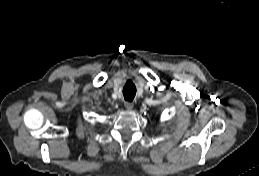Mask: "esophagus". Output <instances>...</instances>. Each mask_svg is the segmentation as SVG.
I'll list each match as a JSON object with an SVG mask.
<instances>
[{
    "label": "esophagus",
    "mask_w": 259,
    "mask_h": 176,
    "mask_svg": "<svg viewBox=\"0 0 259 176\" xmlns=\"http://www.w3.org/2000/svg\"><path fill=\"white\" fill-rule=\"evenodd\" d=\"M125 107L128 109V110H131L134 106L133 102H125Z\"/></svg>",
    "instance_id": "obj_1"
}]
</instances>
